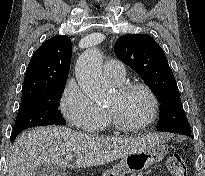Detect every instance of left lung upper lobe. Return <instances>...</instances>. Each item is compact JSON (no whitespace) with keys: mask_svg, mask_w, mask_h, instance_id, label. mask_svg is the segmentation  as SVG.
I'll return each mask as SVG.
<instances>
[{"mask_svg":"<svg viewBox=\"0 0 205 176\" xmlns=\"http://www.w3.org/2000/svg\"><path fill=\"white\" fill-rule=\"evenodd\" d=\"M115 55L143 79L161 103L158 129L191 132L177 83L162 48L147 34L124 35L115 43Z\"/></svg>","mask_w":205,"mask_h":176,"instance_id":"obj_1","label":"left lung upper lobe"}]
</instances>
